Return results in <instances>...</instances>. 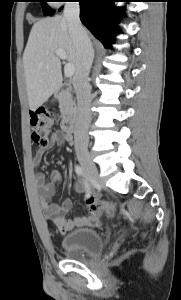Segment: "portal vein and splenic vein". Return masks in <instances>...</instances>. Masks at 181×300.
Instances as JSON below:
<instances>
[{"label":"portal vein and splenic vein","mask_w":181,"mask_h":300,"mask_svg":"<svg viewBox=\"0 0 181 300\" xmlns=\"http://www.w3.org/2000/svg\"><path fill=\"white\" fill-rule=\"evenodd\" d=\"M56 55L62 60L66 59V52L62 49H57ZM74 72H75V67L73 64L67 63L64 66V74L66 77H72L74 75Z\"/></svg>","instance_id":"1"}]
</instances>
